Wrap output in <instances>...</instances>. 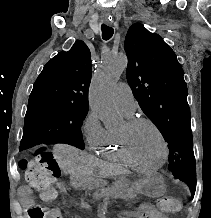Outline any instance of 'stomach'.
Here are the masks:
<instances>
[{
  "label": "stomach",
  "instance_id": "obj_1",
  "mask_svg": "<svg viewBox=\"0 0 211 218\" xmlns=\"http://www.w3.org/2000/svg\"><path fill=\"white\" fill-rule=\"evenodd\" d=\"M74 183L85 189H94L106 185V182L91 174H78L74 176ZM123 185L131 186L136 192L150 197L162 196L166 191L164 179L159 174L150 175L139 180L130 182L122 178Z\"/></svg>",
  "mask_w": 211,
  "mask_h": 218
}]
</instances>
